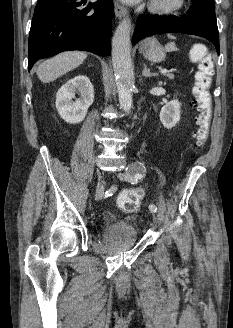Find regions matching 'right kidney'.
<instances>
[{
  "instance_id": "obj_1",
  "label": "right kidney",
  "mask_w": 233,
  "mask_h": 328,
  "mask_svg": "<svg viewBox=\"0 0 233 328\" xmlns=\"http://www.w3.org/2000/svg\"><path fill=\"white\" fill-rule=\"evenodd\" d=\"M75 92L80 98L76 101ZM94 101V89L89 78L85 75H77L64 83L56 94V109L66 122L80 123L84 120L88 108Z\"/></svg>"
}]
</instances>
